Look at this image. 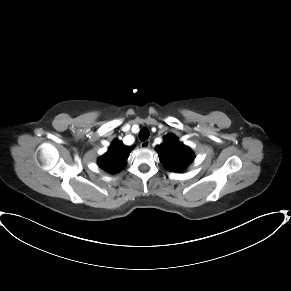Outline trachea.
Wrapping results in <instances>:
<instances>
[{
    "mask_svg": "<svg viewBox=\"0 0 291 291\" xmlns=\"http://www.w3.org/2000/svg\"><path fill=\"white\" fill-rule=\"evenodd\" d=\"M150 132L147 128H142L139 132V139L141 141H146L149 138Z\"/></svg>",
    "mask_w": 291,
    "mask_h": 291,
    "instance_id": "3493384b",
    "label": "trachea"
}]
</instances>
